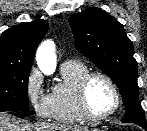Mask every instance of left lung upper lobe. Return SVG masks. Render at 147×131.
<instances>
[{
	"mask_svg": "<svg viewBox=\"0 0 147 131\" xmlns=\"http://www.w3.org/2000/svg\"><path fill=\"white\" fill-rule=\"evenodd\" d=\"M76 48L117 85L126 107L122 122L146 124L139 101L137 62L122 24L92 7L69 18Z\"/></svg>",
	"mask_w": 147,
	"mask_h": 131,
	"instance_id": "1",
	"label": "left lung upper lobe"
}]
</instances>
